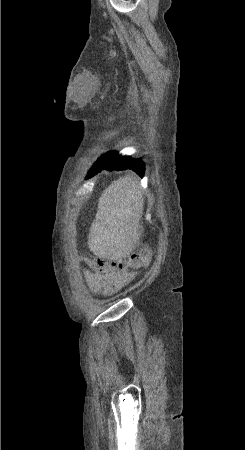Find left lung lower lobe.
<instances>
[{
	"instance_id": "0a47b994",
	"label": "left lung lower lobe",
	"mask_w": 245,
	"mask_h": 450,
	"mask_svg": "<svg viewBox=\"0 0 245 450\" xmlns=\"http://www.w3.org/2000/svg\"><path fill=\"white\" fill-rule=\"evenodd\" d=\"M103 169L110 171L131 169L139 176L143 177L145 166L140 159H134L129 156H118L117 152L111 151L102 155L96 161L93 167L89 170L86 178H90Z\"/></svg>"
}]
</instances>
